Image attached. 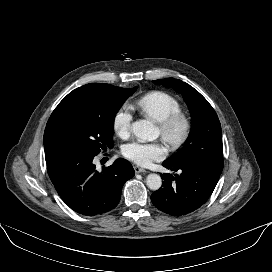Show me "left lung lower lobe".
<instances>
[{
  "label": "left lung lower lobe",
  "mask_w": 272,
  "mask_h": 272,
  "mask_svg": "<svg viewBox=\"0 0 272 272\" xmlns=\"http://www.w3.org/2000/svg\"><path fill=\"white\" fill-rule=\"evenodd\" d=\"M163 166L178 174L161 175L162 187L151 195V200L159 210L173 216L189 214L206 203L222 172L191 161H164Z\"/></svg>",
  "instance_id": "left-lung-lower-lobe-1"
}]
</instances>
